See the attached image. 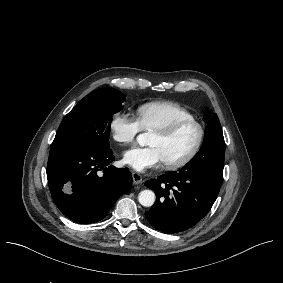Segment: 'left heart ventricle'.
Masks as SVG:
<instances>
[{"mask_svg": "<svg viewBox=\"0 0 283 283\" xmlns=\"http://www.w3.org/2000/svg\"><path fill=\"white\" fill-rule=\"evenodd\" d=\"M197 128L193 124L182 127L171 139H162L154 134L150 145L158 147L165 163H174L182 160L194 147L197 140Z\"/></svg>", "mask_w": 283, "mask_h": 283, "instance_id": "1", "label": "left heart ventricle"}]
</instances>
